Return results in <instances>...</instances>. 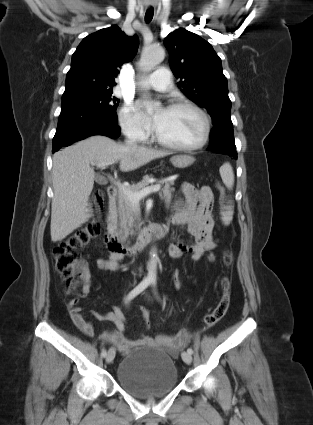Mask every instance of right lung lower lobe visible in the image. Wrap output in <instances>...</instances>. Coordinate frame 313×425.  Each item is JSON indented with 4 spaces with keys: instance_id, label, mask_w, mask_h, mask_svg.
Returning <instances> with one entry per match:
<instances>
[{
    "instance_id": "1",
    "label": "right lung lower lobe",
    "mask_w": 313,
    "mask_h": 425,
    "mask_svg": "<svg viewBox=\"0 0 313 425\" xmlns=\"http://www.w3.org/2000/svg\"><path fill=\"white\" fill-rule=\"evenodd\" d=\"M93 135L117 138L120 135L117 115L84 105L62 104L52 151Z\"/></svg>"
}]
</instances>
